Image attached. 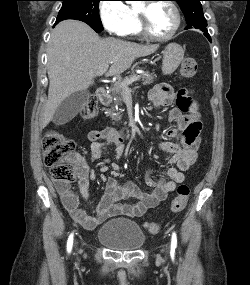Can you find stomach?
<instances>
[{"instance_id": "obj_1", "label": "stomach", "mask_w": 250, "mask_h": 285, "mask_svg": "<svg viewBox=\"0 0 250 285\" xmlns=\"http://www.w3.org/2000/svg\"><path fill=\"white\" fill-rule=\"evenodd\" d=\"M184 49L177 43L168 44L163 51L162 73L171 75L179 67L184 58Z\"/></svg>"}]
</instances>
